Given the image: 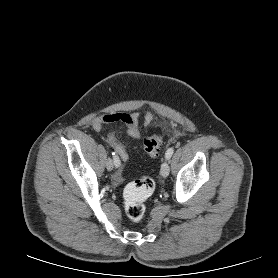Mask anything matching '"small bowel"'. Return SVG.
<instances>
[{
	"mask_svg": "<svg viewBox=\"0 0 278 278\" xmlns=\"http://www.w3.org/2000/svg\"><path fill=\"white\" fill-rule=\"evenodd\" d=\"M154 119V116L151 112L145 113L143 117V126H149ZM120 123L123 124L127 129L128 136L133 140H140L141 138V124H140V116L139 113H124V112H115L108 113L102 116L95 118L92 121V128L94 131H101L105 125ZM105 141L108 145H110L117 157L122 161L129 160V154L122 143H120L113 134H108L105 137ZM121 180L120 175L117 174L115 176V181L119 182Z\"/></svg>",
	"mask_w": 278,
	"mask_h": 278,
	"instance_id": "small-bowel-1",
	"label": "small bowel"
}]
</instances>
